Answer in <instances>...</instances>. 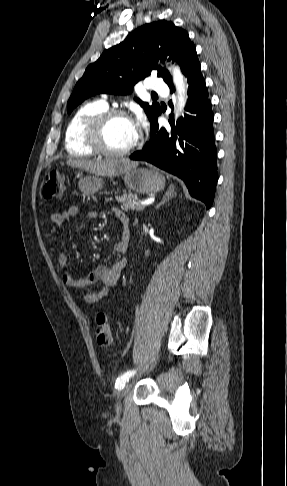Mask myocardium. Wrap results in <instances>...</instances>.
Returning <instances> with one entry per match:
<instances>
[{"label": "myocardium", "instance_id": "f54148a6", "mask_svg": "<svg viewBox=\"0 0 287 486\" xmlns=\"http://www.w3.org/2000/svg\"><path fill=\"white\" fill-rule=\"evenodd\" d=\"M115 118L130 117L126 111L118 108H107L105 111L92 117L85 128L86 144L96 153L107 157H121L131 153L138 145L139 139L121 150H113L108 148L103 140L104 131L107 125Z\"/></svg>", "mask_w": 287, "mask_h": 486}]
</instances>
